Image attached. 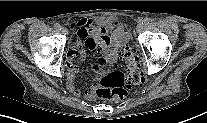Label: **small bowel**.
I'll return each instance as SVG.
<instances>
[{
	"instance_id": "small-bowel-1",
	"label": "small bowel",
	"mask_w": 207,
	"mask_h": 123,
	"mask_svg": "<svg viewBox=\"0 0 207 123\" xmlns=\"http://www.w3.org/2000/svg\"><path fill=\"white\" fill-rule=\"evenodd\" d=\"M70 28H77V40L75 44L67 51V88L75 97H80L81 92L76 87L75 75L78 72L77 60H85L86 53L84 45L91 51L94 56H104L99 59V65H104L108 60L115 57V48L123 40L128 38V33L124 31L122 24L114 20L111 29L101 24L96 25L92 19H80L70 24ZM99 65L94 66L98 71ZM84 98L91 101L95 98L94 89L84 93Z\"/></svg>"
}]
</instances>
